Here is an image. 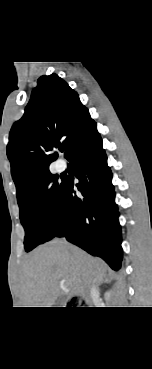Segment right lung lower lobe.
I'll return each mask as SVG.
<instances>
[{
	"label": "right lung lower lobe",
	"instance_id": "98d812e1",
	"mask_svg": "<svg viewBox=\"0 0 152 369\" xmlns=\"http://www.w3.org/2000/svg\"><path fill=\"white\" fill-rule=\"evenodd\" d=\"M68 160L79 183L65 179L59 200V221L51 239H66L119 270L122 260L121 228L112 185V173L97 129L78 143ZM50 239V240H51Z\"/></svg>",
	"mask_w": 152,
	"mask_h": 369
}]
</instances>
